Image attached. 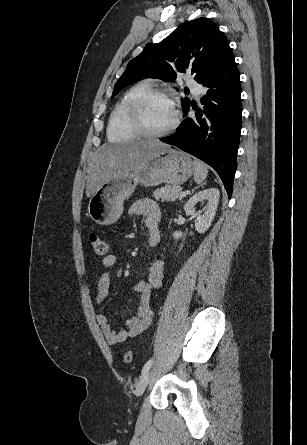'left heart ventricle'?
<instances>
[{"instance_id": "left-heart-ventricle-1", "label": "left heart ventricle", "mask_w": 307, "mask_h": 445, "mask_svg": "<svg viewBox=\"0 0 307 445\" xmlns=\"http://www.w3.org/2000/svg\"><path fill=\"white\" fill-rule=\"evenodd\" d=\"M144 118L151 131L161 132L173 121L174 108L166 100L154 99L145 107Z\"/></svg>"}]
</instances>
